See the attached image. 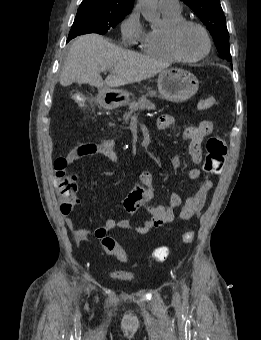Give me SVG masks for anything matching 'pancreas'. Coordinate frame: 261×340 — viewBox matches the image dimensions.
Listing matches in <instances>:
<instances>
[{
  "label": "pancreas",
  "mask_w": 261,
  "mask_h": 340,
  "mask_svg": "<svg viewBox=\"0 0 261 340\" xmlns=\"http://www.w3.org/2000/svg\"><path fill=\"white\" fill-rule=\"evenodd\" d=\"M147 96L148 95H143L138 100L133 101L129 104V112L125 113L123 116L126 123L129 121V118L131 117V115L138 110H145V109L155 110L156 109L155 105L147 99Z\"/></svg>",
  "instance_id": "obj_1"
}]
</instances>
